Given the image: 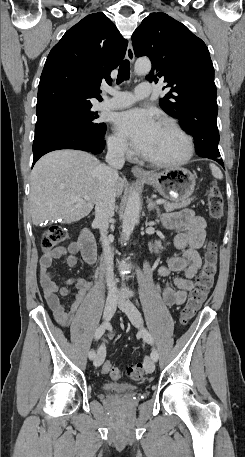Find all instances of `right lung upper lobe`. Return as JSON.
<instances>
[{"instance_id":"right-lung-upper-lobe-1","label":"right lung upper lobe","mask_w":245,"mask_h":457,"mask_svg":"<svg viewBox=\"0 0 245 457\" xmlns=\"http://www.w3.org/2000/svg\"><path fill=\"white\" fill-rule=\"evenodd\" d=\"M128 41L103 13L90 14L69 29L50 51L38 87L36 111L63 101L100 98L102 80L124 58Z\"/></svg>"}]
</instances>
